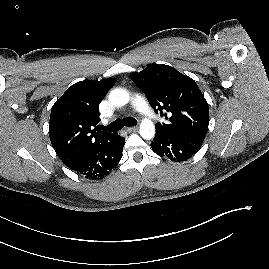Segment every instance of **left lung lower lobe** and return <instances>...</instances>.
<instances>
[{
  "label": "left lung lower lobe",
  "mask_w": 269,
  "mask_h": 269,
  "mask_svg": "<svg viewBox=\"0 0 269 269\" xmlns=\"http://www.w3.org/2000/svg\"><path fill=\"white\" fill-rule=\"evenodd\" d=\"M204 138L205 135L166 134L156 130L151 148L161 157L181 162L186 161L198 151Z\"/></svg>",
  "instance_id": "0a47b994"
}]
</instances>
